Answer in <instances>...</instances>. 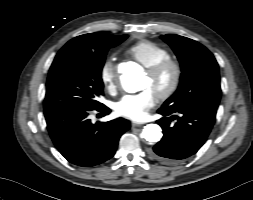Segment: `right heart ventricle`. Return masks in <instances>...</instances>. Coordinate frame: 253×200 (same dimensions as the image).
<instances>
[{"label": "right heart ventricle", "mask_w": 253, "mask_h": 200, "mask_svg": "<svg viewBox=\"0 0 253 200\" xmlns=\"http://www.w3.org/2000/svg\"><path fill=\"white\" fill-rule=\"evenodd\" d=\"M126 55L145 68L171 58L167 48L149 40H143L130 46L126 50Z\"/></svg>", "instance_id": "e07e8e85"}]
</instances>
